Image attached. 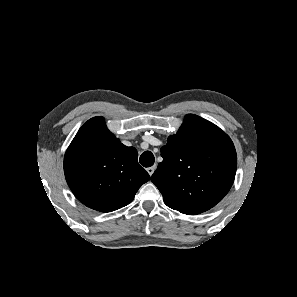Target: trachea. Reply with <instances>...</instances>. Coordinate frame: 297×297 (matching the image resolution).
<instances>
[{"label": "trachea", "mask_w": 297, "mask_h": 297, "mask_svg": "<svg viewBox=\"0 0 297 297\" xmlns=\"http://www.w3.org/2000/svg\"><path fill=\"white\" fill-rule=\"evenodd\" d=\"M155 158L152 152L145 151L141 154L139 162L144 167H151L154 164Z\"/></svg>", "instance_id": "1"}]
</instances>
